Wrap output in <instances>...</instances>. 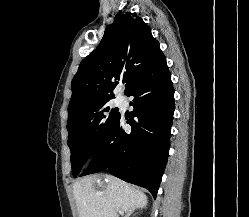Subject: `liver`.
<instances>
[{
  "instance_id": "obj_1",
  "label": "liver",
  "mask_w": 249,
  "mask_h": 217,
  "mask_svg": "<svg viewBox=\"0 0 249 217\" xmlns=\"http://www.w3.org/2000/svg\"><path fill=\"white\" fill-rule=\"evenodd\" d=\"M79 217H115L143 208L147 196L128 183L109 175H94L74 183Z\"/></svg>"
}]
</instances>
